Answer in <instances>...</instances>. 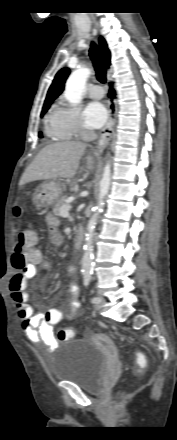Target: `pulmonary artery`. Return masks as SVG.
Returning a JSON list of instances; mask_svg holds the SVG:
<instances>
[{
  "label": "pulmonary artery",
  "mask_w": 177,
  "mask_h": 440,
  "mask_svg": "<svg viewBox=\"0 0 177 440\" xmlns=\"http://www.w3.org/2000/svg\"><path fill=\"white\" fill-rule=\"evenodd\" d=\"M89 96L93 99H101L104 96V90L100 85H93L89 91Z\"/></svg>",
  "instance_id": "1"
}]
</instances>
